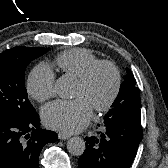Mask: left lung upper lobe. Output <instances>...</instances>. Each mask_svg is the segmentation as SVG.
Wrapping results in <instances>:
<instances>
[{"instance_id":"obj_1","label":"left lung upper lobe","mask_w":168,"mask_h":168,"mask_svg":"<svg viewBox=\"0 0 168 168\" xmlns=\"http://www.w3.org/2000/svg\"><path fill=\"white\" fill-rule=\"evenodd\" d=\"M127 75L122 82L119 94L112 104L111 110L107 114L123 113L128 111H140V92L136 85V80L130 71L126 69Z\"/></svg>"}]
</instances>
